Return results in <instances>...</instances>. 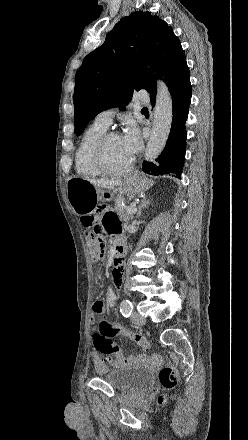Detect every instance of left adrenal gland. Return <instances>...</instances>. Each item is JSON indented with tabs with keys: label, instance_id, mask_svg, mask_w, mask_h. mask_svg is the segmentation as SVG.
I'll return each mask as SVG.
<instances>
[{
	"label": "left adrenal gland",
	"instance_id": "a2214340",
	"mask_svg": "<svg viewBox=\"0 0 248 440\" xmlns=\"http://www.w3.org/2000/svg\"><path fill=\"white\" fill-rule=\"evenodd\" d=\"M148 204H149V201L146 198H144L141 201L140 205L138 206V210H137V215H136L137 218L140 217L142 209L146 208L148 206Z\"/></svg>",
	"mask_w": 248,
	"mask_h": 440
}]
</instances>
